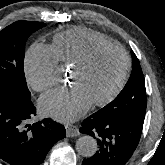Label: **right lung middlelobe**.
Returning a JSON list of instances; mask_svg holds the SVG:
<instances>
[{
  "mask_svg": "<svg viewBox=\"0 0 165 165\" xmlns=\"http://www.w3.org/2000/svg\"><path fill=\"white\" fill-rule=\"evenodd\" d=\"M45 25L41 22L17 21L0 32V91L31 98L23 68L25 44L33 32Z\"/></svg>",
  "mask_w": 165,
  "mask_h": 165,
  "instance_id": "right-lung-middle-lobe-1",
  "label": "right lung middle lobe"
}]
</instances>
